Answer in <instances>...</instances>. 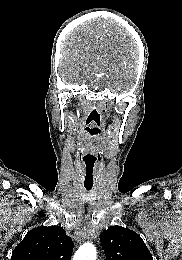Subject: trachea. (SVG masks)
Instances as JSON below:
<instances>
[{
  "mask_svg": "<svg viewBox=\"0 0 182 260\" xmlns=\"http://www.w3.org/2000/svg\"><path fill=\"white\" fill-rule=\"evenodd\" d=\"M91 188H92V187L85 186V189H86L87 191L91 190Z\"/></svg>",
  "mask_w": 182,
  "mask_h": 260,
  "instance_id": "1",
  "label": "trachea"
}]
</instances>
